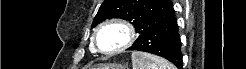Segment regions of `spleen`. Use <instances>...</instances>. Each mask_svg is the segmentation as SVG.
<instances>
[{"instance_id":"1","label":"spleen","mask_w":246,"mask_h":69,"mask_svg":"<svg viewBox=\"0 0 246 69\" xmlns=\"http://www.w3.org/2000/svg\"><path fill=\"white\" fill-rule=\"evenodd\" d=\"M133 69H176V67L162 57L144 52H132Z\"/></svg>"}]
</instances>
